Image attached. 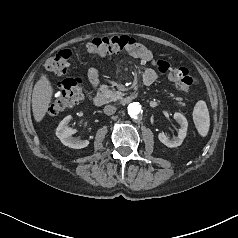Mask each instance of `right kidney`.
<instances>
[{
	"instance_id": "ca27d5eb",
	"label": "right kidney",
	"mask_w": 238,
	"mask_h": 238,
	"mask_svg": "<svg viewBox=\"0 0 238 238\" xmlns=\"http://www.w3.org/2000/svg\"><path fill=\"white\" fill-rule=\"evenodd\" d=\"M71 119L72 117L69 115L60 122L56 129V136L65 146L70 148L81 149L87 147L89 145L88 140H80L72 136L76 130L68 125Z\"/></svg>"
}]
</instances>
